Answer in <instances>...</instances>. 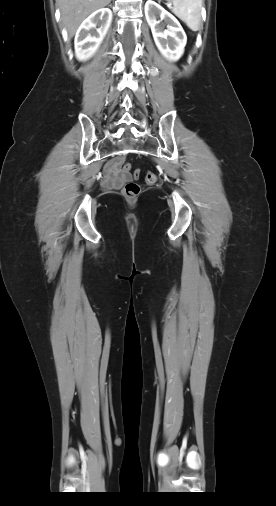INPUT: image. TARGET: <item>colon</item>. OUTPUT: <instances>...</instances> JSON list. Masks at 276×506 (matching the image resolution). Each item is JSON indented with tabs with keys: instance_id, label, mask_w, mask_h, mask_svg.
Wrapping results in <instances>:
<instances>
[{
	"instance_id": "1",
	"label": "colon",
	"mask_w": 276,
	"mask_h": 506,
	"mask_svg": "<svg viewBox=\"0 0 276 506\" xmlns=\"http://www.w3.org/2000/svg\"><path fill=\"white\" fill-rule=\"evenodd\" d=\"M118 167L121 166L122 170L127 172L130 171L131 165L129 163H124L121 165V162L117 164ZM134 179H138L141 175V170L136 169L134 171ZM145 180L148 184H155L158 181V177L154 172H147L145 175ZM140 188L139 185L135 181H129L125 184L123 188V195L128 200H134L139 195Z\"/></svg>"
}]
</instances>
